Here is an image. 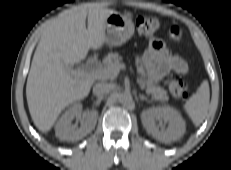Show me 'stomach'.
<instances>
[{
    "label": "stomach",
    "instance_id": "0dacf381",
    "mask_svg": "<svg viewBox=\"0 0 231 170\" xmlns=\"http://www.w3.org/2000/svg\"><path fill=\"white\" fill-rule=\"evenodd\" d=\"M134 23L130 14L119 12L109 15L104 24L105 42L110 46H119L134 34Z\"/></svg>",
    "mask_w": 231,
    "mask_h": 170
}]
</instances>
